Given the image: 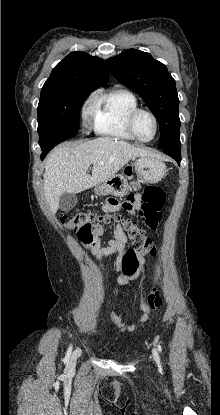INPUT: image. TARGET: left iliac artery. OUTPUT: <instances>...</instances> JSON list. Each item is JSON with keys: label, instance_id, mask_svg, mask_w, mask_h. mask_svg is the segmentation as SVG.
<instances>
[{"label": "left iliac artery", "instance_id": "left-iliac-artery-1", "mask_svg": "<svg viewBox=\"0 0 220 415\" xmlns=\"http://www.w3.org/2000/svg\"><path fill=\"white\" fill-rule=\"evenodd\" d=\"M157 348H158V350H159L160 352H162V347H161V345H160V344H158Z\"/></svg>", "mask_w": 220, "mask_h": 415}]
</instances>
